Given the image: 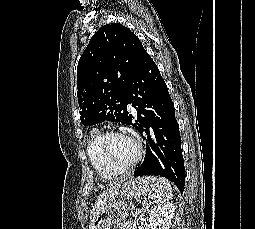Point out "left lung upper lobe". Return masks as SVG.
<instances>
[{"instance_id": "1", "label": "left lung upper lobe", "mask_w": 255, "mask_h": 229, "mask_svg": "<svg viewBox=\"0 0 255 229\" xmlns=\"http://www.w3.org/2000/svg\"><path fill=\"white\" fill-rule=\"evenodd\" d=\"M145 49L138 37L119 23L102 26L91 38L77 67L80 120L127 124L123 93Z\"/></svg>"}]
</instances>
